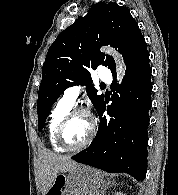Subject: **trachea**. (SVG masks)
<instances>
[{"label":"trachea","instance_id":"3493384b","mask_svg":"<svg viewBox=\"0 0 178 195\" xmlns=\"http://www.w3.org/2000/svg\"><path fill=\"white\" fill-rule=\"evenodd\" d=\"M101 87H102V88H105V85H104V84H101Z\"/></svg>","mask_w":178,"mask_h":195}]
</instances>
